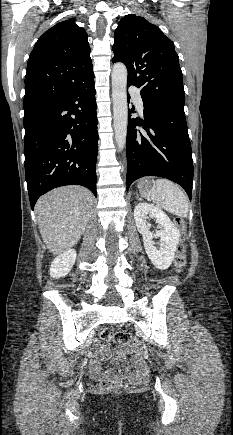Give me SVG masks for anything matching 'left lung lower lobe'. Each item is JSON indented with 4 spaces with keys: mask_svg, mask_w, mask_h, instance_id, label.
I'll return each mask as SVG.
<instances>
[{
    "mask_svg": "<svg viewBox=\"0 0 233 435\" xmlns=\"http://www.w3.org/2000/svg\"><path fill=\"white\" fill-rule=\"evenodd\" d=\"M143 105L145 120L128 122L127 191L138 178L159 176L181 185L191 200L193 160L184 110Z\"/></svg>",
    "mask_w": 233,
    "mask_h": 435,
    "instance_id": "left-lung-lower-lobe-1",
    "label": "left lung lower lobe"
}]
</instances>
